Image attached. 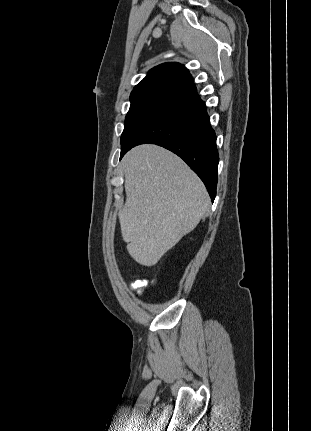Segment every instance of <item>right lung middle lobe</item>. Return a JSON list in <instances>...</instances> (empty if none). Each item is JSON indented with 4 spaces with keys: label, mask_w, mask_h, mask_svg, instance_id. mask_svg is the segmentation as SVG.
Here are the masks:
<instances>
[{
    "label": "right lung middle lobe",
    "mask_w": 311,
    "mask_h": 431,
    "mask_svg": "<svg viewBox=\"0 0 311 431\" xmlns=\"http://www.w3.org/2000/svg\"><path fill=\"white\" fill-rule=\"evenodd\" d=\"M179 99L180 97L177 95L158 90L132 92L130 110L126 115L124 131L121 136V150L145 123Z\"/></svg>",
    "instance_id": "right-lung-middle-lobe-1"
}]
</instances>
